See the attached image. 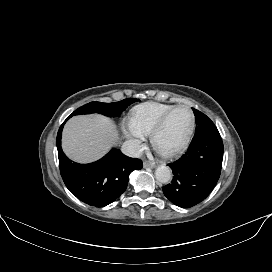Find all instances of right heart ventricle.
<instances>
[{"label":"right heart ventricle","mask_w":272,"mask_h":272,"mask_svg":"<svg viewBox=\"0 0 272 272\" xmlns=\"http://www.w3.org/2000/svg\"><path fill=\"white\" fill-rule=\"evenodd\" d=\"M175 105L148 103L136 107L128 116L130 130L142 138L150 135L159 119Z\"/></svg>","instance_id":"e07e8e85"}]
</instances>
